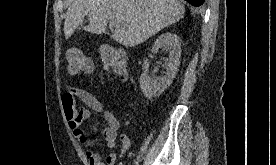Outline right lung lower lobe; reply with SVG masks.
<instances>
[{
    "label": "right lung lower lobe",
    "mask_w": 276,
    "mask_h": 165,
    "mask_svg": "<svg viewBox=\"0 0 276 165\" xmlns=\"http://www.w3.org/2000/svg\"><path fill=\"white\" fill-rule=\"evenodd\" d=\"M193 6H200L204 3V0H186Z\"/></svg>",
    "instance_id": "1"
}]
</instances>
